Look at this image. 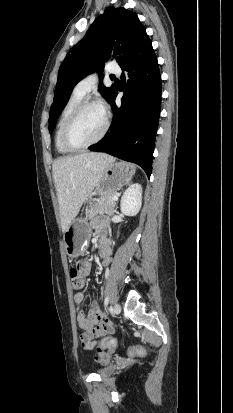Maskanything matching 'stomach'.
I'll use <instances>...</instances> for the list:
<instances>
[{"label": "stomach", "mask_w": 233, "mask_h": 413, "mask_svg": "<svg viewBox=\"0 0 233 413\" xmlns=\"http://www.w3.org/2000/svg\"><path fill=\"white\" fill-rule=\"evenodd\" d=\"M134 173L135 167L129 163L114 161L109 163L96 186L97 195L102 196L115 193L131 181ZM95 201L92 196L89 197L87 200V211ZM90 233L91 229L87 218L74 219L63 232V242L67 255L70 257L79 256L84 251L85 243Z\"/></svg>", "instance_id": "obj_1"}]
</instances>
